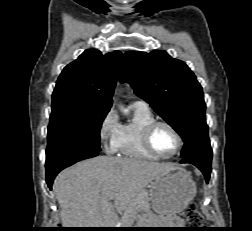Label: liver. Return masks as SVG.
I'll list each match as a JSON object with an SVG mask.
<instances>
[{"instance_id": "obj_1", "label": "liver", "mask_w": 252, "mask_h": 231, "mask_svg": "<svg viewBox=\"0 0 252 231\" xmlns=\"http://www.w3.org/2000/svg\"><path fill=\"white\" fill-rule=\"evenodd\" d=\"M172 164L138 158L98 156L63 170L53 191L66 228H113L118 214L134 216V200ZM115 195V204L109 197Z\"/></svg>"}]
</instances>
